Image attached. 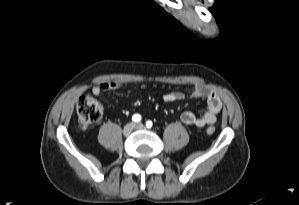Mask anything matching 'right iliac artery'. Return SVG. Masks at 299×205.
Returning <instances> with one entry per match:
<instances>
[{
  "label": "right iliac artery",
  "mask_w": 299,
  "mask_h": 205,
  "mask_svg": "<svg viewBox=\"0 0 299 205\" xmlns=\"http://www.w3.org/2000/svg\"><path fill=\"white\" fill-rule=\"evenodd\" d=\"M132 120L134 122H139L141 120V116L139 114H135L133 115Z\"/></svg>",
  "instance_id": "82829eb1"
}]
</instances>
